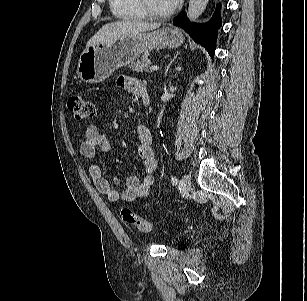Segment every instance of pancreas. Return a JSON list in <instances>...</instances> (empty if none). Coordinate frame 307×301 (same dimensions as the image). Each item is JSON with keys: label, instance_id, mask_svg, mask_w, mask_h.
<instances>
[{"label": "pancreas", "instance_id": "obj_1", "mask_svg": "<svg viewBox=\"0 0 307 301\" xmlns=\"http://www.w3.org/2000/svg\"><path fill=\"white\" fill-rule=\"evenodd\" d=\"M150 64H151L150 60L145 55L141 59H138L137 62L129 65V68L132 69L133 71H137V72H143V71L148 72L149 71L148 65H150Z\"/></svg>", "mask_w": 307, "mask_h": 301}]
</instances>
